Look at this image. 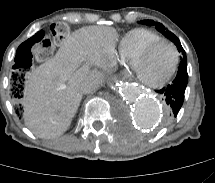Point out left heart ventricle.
<instances>
[{"label":"left heart ventricle","instance_id":"b2bd125f","mask_svg":"<svg viewBox=\"0 0 215 183\" xmlns=\"http://www.w3.org/2000/svg\"><path fill=\"white\" fill-rule=\"evenodd\" d=\"M174 60L173 48L167 43H160L139 64L140 73L146 81L158 82L172 70Z\"/></svg>","mask_w":215,"mask_h":183}]
</instances>
